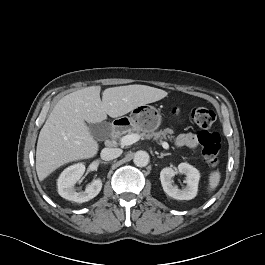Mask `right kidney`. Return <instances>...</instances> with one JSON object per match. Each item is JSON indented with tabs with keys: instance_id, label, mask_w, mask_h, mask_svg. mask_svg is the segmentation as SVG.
Returning <instances> with one entry per match:
<instances>
[{
	"instance_id": "ca27d5eb",
	"label": "right kidney",
	"mask_w": 265,
	"mask_h": 265,
	"mask_svg": "<svg viewBox=\"0 0 265 265\" xmlns=\"http://www.w3.org/2000/svg\"><path fill=\"white\" fill-rule=\"evenodd\" d=\"M85 172V165L77 163L66 168L58 178V193L61 197L77 203L87 202L96 197L102 188L101 179H96L84 191L77 192L74 185Z\"/></svg>"
}]
</instances>
